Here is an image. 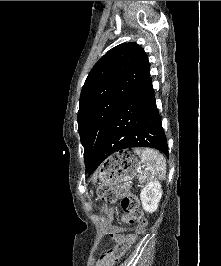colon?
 <instances>
[{"label":"colon","mask_w":221,"mask_h":266,"mask_svg":"<svg viewBox=\"0 0 221 266\" xmlns=\"http://www.w3.org/2000/svg\"><path fill=\"white\" fill-rule=\"evenodd\" d=\"M98 196L107 204L115 203L119 199L123 211V221L128 225L137 226L139 232H143L146 229L147 220L142 210L139 208L138 201L134 195L122 193L121 187L102 185L98 189ZM134 240L135 235L133 234L123 238L120 237L116 245L108 248L101 255L98 266H112L121 259Z\"/></svg>","instance_id":"1"}]
</instances>
